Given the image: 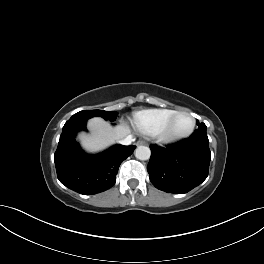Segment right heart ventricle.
I'll return each instance as SVG.
<instances>
[{
  "label": "right heart ventricle",
  "instance_id": "e07e8e85",
  "mask_svg": "<svg viewBox=\"0 0 264 264\" xmlns=\"http://www.w3.org/2000/svg\"><path fill=\"white\" fill-rule=\"evenodd\" d=\"M174 109H150L140 111L134 116V124L145 135H156L170 116L175 113Z\"/></svg>",
  "mask_w": 264,
  "mask_h": 264
}]
</instances>
